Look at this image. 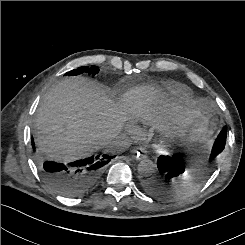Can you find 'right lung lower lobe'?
<instances>
[{"label": "right lung lower lobe", "mask_w": 245, "mask_h": 245, "mask_svg": "<svg viewBox=\"0 0 245 245\" xmlns=\"http://www.w3.org/2000/svg\"><path fill=\"white\" fill-rule=\"evenodd\" d=\"M32 147L35 148L32 139ZM114 156L97 155L68 164L44 161L36 157L38 168L46 182L59 194L78 197L89 191Z\"/></svg>", "instance_id": "obj_1"}]
</instances>
